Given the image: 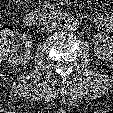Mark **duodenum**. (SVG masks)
<instances>
[{"label": "duodenum", "mask_w": 113, "mask_h": 113, "mask_svg": "<svg viewBox=\"0 0 113 113\" xmlns=\"http://www.w3.org/2000/svg\"><path fill=\"white\" fill-rule=\"evenodd\" d=\"M67 16L64 10H37L27 13L23 18L26 26H32L39 21H60Z\"/></svg>", "instance_id": "duodenum-1"}]
</instances>
